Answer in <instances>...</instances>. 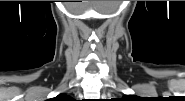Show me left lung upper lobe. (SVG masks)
Listing matches in <instances>:
<instances>
[{
    "label": "left lung upper lobe",
    "instance_id": "1",
    "mask_svg": "<svg viewBox=\"0 0 185 101\" xmlns=\"http://www.w3.org/2000/svg\"><path fill=\"white\" fill-rule=\"evenodd\" d=\"M124 99L133 100L134 98L132 96H125Z\"/></svg>",
    "mask_w": 185,
    "mask_h": 101
}]
</instances>
